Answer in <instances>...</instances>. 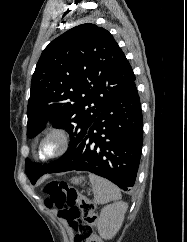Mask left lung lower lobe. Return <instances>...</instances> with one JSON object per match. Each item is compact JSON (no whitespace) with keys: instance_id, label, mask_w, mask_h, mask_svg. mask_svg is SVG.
Wrapping results in <instances>:
<instances>
[{"instance_id":"obj_1","label":"left lung lower lobe","mask_w":187,"mask_h":242,"mask_svg":"<svg viewBox=\"0 0 187 242\" xmlns=\"http://www.w3.org/2000/svg\"><path fill=\"white\" fill-rule=\"evenodd\" d=\"M142 143V110L134 80L103 108L76 149L48 173L88 171L127 191L135 184Z\"/></svg>"}]
</instances>
